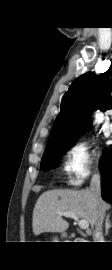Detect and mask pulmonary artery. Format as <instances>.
Returning a JSON list of instances; mask_svg holds the SVG:
<instances>
[{
  "mask_svg": "<svg viewBox=\"0 0 112 270\" xmlns=\"http://www.w3.org/2000/svg\"><path fill=\"white\" fill-rule=\"evenodd\" d=\"M109 129L112 132V123L110 124Z\"/></svg>",
  "mask_w": 112,
  "mask_h": 270,
  "instance_id": "e3ab8cb5",
  "label": "pulmonary artery"
}]
</instances>
